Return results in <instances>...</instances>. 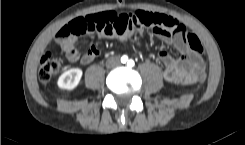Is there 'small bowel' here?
Listing matches in <instances>:
<instances>
[{
	"label": "small bowel",
	"mask_w": 245,
	"mask_h": 145,
	"mask_svg": "<svg viewBox=\"0 0 245 145\" xmlns=\"http://www.w3.org/2000/svg\"><path fill=\"white\" fill-rule=\"evenodd\" d=\"M153 14L156 12L136 11L131 16L138 20L141 13ZM161 16L169 17L164 14L158 13ZM102 15L108 22L115 20L120 14L117 12H106L102 14L87 15L79 17V21L86 23L89 17ZM95 39L115 37L116 33L112 29L105 31H98L91 29L88 31ZM155 36L161 41L173 45L180 53L177 58L172 57L166 51H160L159 57L164 64V78L168 82L181 83V84H194L206 78L205 62L202 55L190 48L187 40L182 35L173 34L166 27H158L155 31ZM126 36H123L124 39ZM61 48L71 63H80L82 65L89 64L97 56L101 54V48L97 42L93 43L91 47L83 54H80L77 49V38L68 37L61 41Z\"/></svg>",
	"instance_id": "c3829d8e"
}]
</instances>
